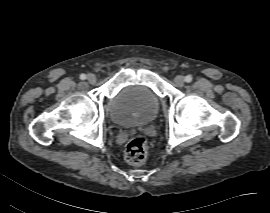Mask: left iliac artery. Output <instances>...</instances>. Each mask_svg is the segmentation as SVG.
<instances>
[{
  "mask_svg": "<svg viewBox=\"0 0 270 213\" xmlns=\"http://www.w3.org/2000/svg\"><path fill=\"white\" fill-rule=\"evenodd\" d=\"M185 81H186L187 83H190V82L192 81V77H191L190 75L186 76V77H185Z\"/></svg>",
  "mask_w": 270,
  "mask_h": 213,
  "instance_id": "1",
  "label": "left iliac artery"
}]
</instances>
